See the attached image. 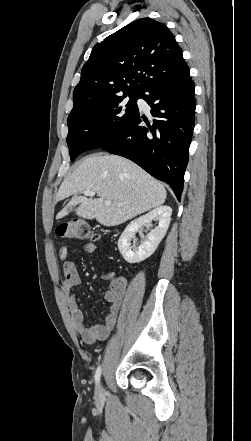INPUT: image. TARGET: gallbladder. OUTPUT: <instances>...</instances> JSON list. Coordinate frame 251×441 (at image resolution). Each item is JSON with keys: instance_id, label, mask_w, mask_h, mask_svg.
Segmentation results:
<instances>
[{"instance_id": "bac80fb5", "label": "gallbladder", "mask_w": 251, "mask_h": 441, "mask_svg": "<svg viewBox=\"0 0 251 441\" xmlns=\"http://www.w3.org/2000/svg\"><path fill=\"white\" fill-rule=\"evenodd\" d=\"M66 209L70 212H72V211H75V206H73V205H71V203H69L67 206H66Z\"/></svg>"}]
</instances>
